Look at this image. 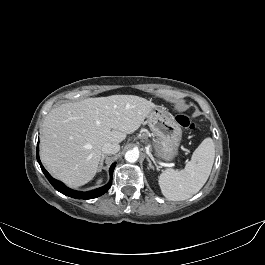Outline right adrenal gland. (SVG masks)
Here are the masks:
<instances>
[{
    "label": "right adrenal gland",
    "mask_w": 265,
    "mask_h": 265,
    "mask_svg": "<svg viewBox=\"0 0 265 265\" xmlns=\"http://www.w3.org/2000/svg\"><path fill=\"white\" fill-rule=\"evenodd\" d=\"M105 158H106V155H102L101 160H100V163H99L98 171H101L102 170V168H103V162H104V159Z\"/></svg>",
    "instance_id": "right-adrenal-gland-1"
}]
</instances>
